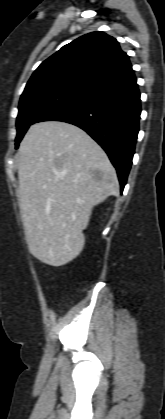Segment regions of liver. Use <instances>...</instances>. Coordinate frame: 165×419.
<instances>
[{
  "label": "liver",
  "instance_id": "obj_1",
  "mask_svg": "<svg viewBox=\"0 0 165 419\" xmlns=\"http://www.w3.org/2000/svg\"><path fill=\"white\" fill-rule=\"evenodd\" d=\"M18 155L28 249L45 264L65 265L83 249L92 208L118 194L116 171L86 132L59 121L32 125Z\"/></svg>",
  "mask_w": 165,
  "mask_h": 419
}]
</instances>
